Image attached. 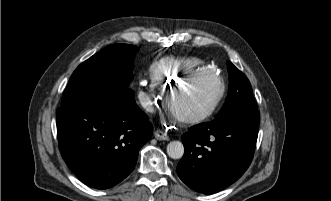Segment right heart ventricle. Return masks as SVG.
I'll return each instance as SVG.
<instances>
[{
    "label": "right heart ventricle",
    "instance_id": "1",
    "mask_svg": "<svg viewBox=\"0 0 331 201\" xmlns=\"http://www.w3.org/2000/svg\"><path fill=\"white\" fill-rule=\"evenodd\" d=\"M201 59L196 57L177 59L164 58L156 62L151 68V76L155 83L168 86L178 79L194 72L206 70Z\"/></svg>",
    "mask_w": 331,
    "mask_h": 201
}]
</instances>
